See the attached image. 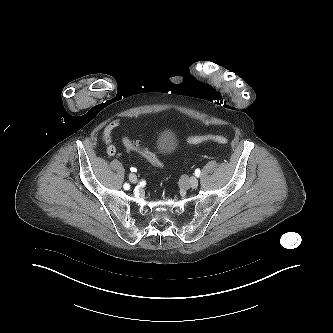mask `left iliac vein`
I'll list each match as a JSON object with an SVG mask.
<instances>
[{"instance_id":"left-iliac-vein-1","label":"left iliac vein","mask_w":333,"mask_h":333,"mask_svg":"<svg viewBox=\"0 0 333 333\" xmlns=\"http://www.w3.org/2000/svg\"><path fill=\"white\" fill-rule=\"evenodd\" d=\"M187 185L191 188H197L198 186V180L195 177H190L187 181Z\"/></svg>"}]
</instances>
